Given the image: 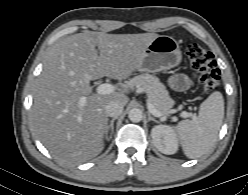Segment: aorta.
Here are the masks:
<instances>
[{"label": "aorta", "mask_w": 248, "mask_h": 195, "mask_svg": "<svg viewBox=\"0 0 248 195\" xmlns=\"http://www.w3.org/2000/svg\"><path fill=\"white\" fill-rule=\"evenodd\" d=\"M128 117L132 122H140L142 120L143 117V113L140 109L138 108H133L129 111L128 113Z\"/></svg>", "instance_id": "762f6f07"}]
</instances>
